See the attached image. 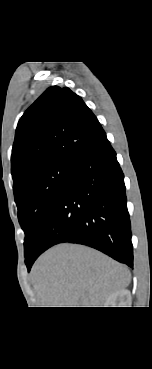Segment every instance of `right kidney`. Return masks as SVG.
Here are the masks:
<instances>
[{
    "label": "right kidney",
    "instance_id": "ca27d5eb",
    "mask_svg": "<svg viewBox=\"0 0 152 369\" xmlns=\"http://www.w3.org/2000/svg\"><path fill=\"white\" fill-rule=\"evenodd\" d=\"M130 299V291L122 289L111 294L106 302L105 307H124Z\"/></svg>",
    "mask_w": 152,
    "mask_h": 369
}]
</instances>
